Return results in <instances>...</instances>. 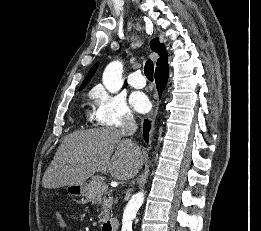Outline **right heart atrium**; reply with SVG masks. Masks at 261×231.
Segmentation results:
<instances>
[{"mask_svg": "<svg viewBox=\"0 0 261 231\" xmlns=\"http://www.w3.org/2000/svg\"><path fill=\"white\" fill-rule=\"evenodd\" d=\"M90 97L95 104L93 115L98 124L118 129L134 124V114L122 95L97 86L91 90Z\"/></svg>", "mask_w": 261, "mask_h": 231, "instance_id": "d8ad5b80", "label": "right heart atrium"}]
</instances>
